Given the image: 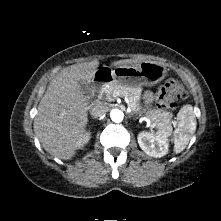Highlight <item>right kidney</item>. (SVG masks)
Masks as SVG:
<instances>
[{
	"label": "right kidney",
	"mask_w": 221,
	"mask_h": 221,
	"mask_svg": "<svg viewBox=\"0 0 221 221\" xmlns=\"http://www.w3.org/2000/svg\"><path fill=\"white\" fill-rule=\"evenodd\" d=\"M90 140V132H86L82 137L78 140L77 146L78 148H82L88 141Z\"/></svg>",
	"instance_id": "right-kidney-1"
}]
</instances>
